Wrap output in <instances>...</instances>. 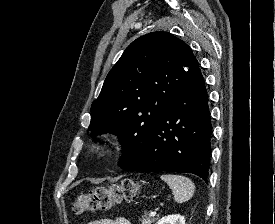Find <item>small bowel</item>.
<instances>
[{"instance_id":"1","label":"small bowel","mask_w":275,"mask_h":224,"mask_svg":"<svg viewBox=\"0 0 275 224\" xmlns=\"http://www.w3.org/2000/svg\"><path fill=\"white\" fill-rule=\"evenodd\" d=\"M88 224H131V223L124 217L104 216L97 220L91 221Z\"/></svg>"}]
</instances>
